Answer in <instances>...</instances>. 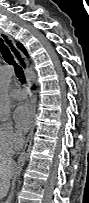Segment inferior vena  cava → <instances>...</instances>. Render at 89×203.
Segmentation results:
<instances>
[{
  "instance_id": "1",
  "label": "inferior vena cava",
  "mask_w": 89,
  "mask_h": 203,
  "mask_svg": "<svg viewBox=\"0 0 89 203\" xmlns=\"http://www.w3.org/2000/svg\"><path fill=\"white\" fill-rule=\"evenodd\" d=\"M19 142L23 145L25 142V139L23 137H19Z\"/></svg>"
}]
</instances>
